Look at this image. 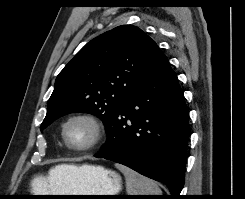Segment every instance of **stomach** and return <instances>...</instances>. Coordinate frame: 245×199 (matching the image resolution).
<instances>
[{"mask_svg":"<svg viewBox=\"0 0 245 199\" xmlns=\"http://www.w3.org/2000/svg\"><path fill=\"white\" fill-rule=\"evenodd\" d=\"M55 184H61V189L51 195H116L121 190L122 179L114 171L101 166L83 165L77 166L70 178L62 181L55 180ZM100 196H78L75 198L59 199H100Z\"/></svg>","mask_w":245,"mask_h":199,"instance_id":"stomach-1","label":"stomach"}]
</instances>
